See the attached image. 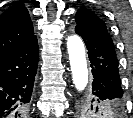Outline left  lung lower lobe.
I'll return each instance as SVG.
<instances>
[{
	"mask_svg": "<svg viewBox=\"0 0 133 118\" xmlns=\"http://www.w3.org/2000/svg\"><path fill=\"white\" fill-rule=\"evenodd\" d=\"M75 31L82 37L88 50L93 75L90 93L94 100L123 101L118 60L112 40L96 36L81 27H75Z\"/></svg>",
	"mask_w": 133,
	"mask_h": 118,
	"instance_id": "left-lung-lower-lobe-1",
	"label": "left lung lower lobe"
}]
</instances>
